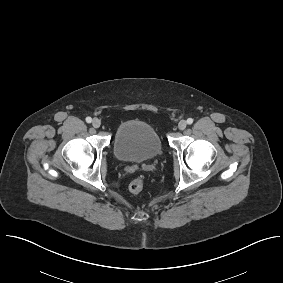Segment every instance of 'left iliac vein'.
I'll return each instance as SVG.
<instances>
[{
    "mask_svg": "<svg viewBox=\"0 0 283 283\" xmlns=\"http://www.w3.org/2000/svg\"><path fill=\"white\" fill-rule=\"evenodd\" d=\"M187 127V122L185 120H181L179 123H178V128L180 130H184L185 128Z\"/></svg>",
    "mask_w": 283,
    "mask_h": 283,
    "instance_id": "left-iliac-vein-1",
    "label": "left iliac vein"
}]
</instances>
